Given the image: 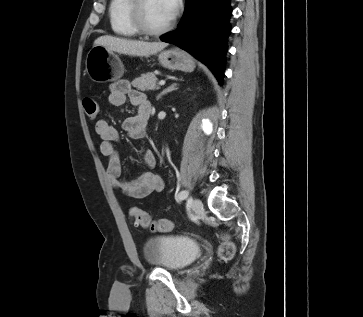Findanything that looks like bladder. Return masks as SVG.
<instances>
[{
	"mask_svg": "<svg viewBox=\"0 0 363 317\" xmlns=\"http://www.w3.org/2000/svg\"><path fill=\"white\" fill-rule=\"evenodd\" d=\"M142 254L147 264L173 273L195 261L200 255V246L185 236H154L144 242Z\"/></svg>",
	"mask_w": 363,
	"mask_h": 317,
	"instance_id": "bladder-1",
	"label": "bladder"
}]
</instances>
